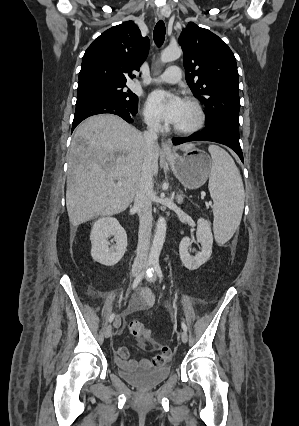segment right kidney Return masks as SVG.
Masks as SVG:
<instances>
[{
	"label": "right kidney",
	"instance_id": "obj_1",
	"mask_svg": "<svg viewBox=\"0 0 299 426\" xmlns=\"http://www.w3.org/2000/svg\"><path fill=\"white\" fill-rule=\"evenodd\" d=\"M114 236L115 245L109 247L108 238ZM91 256L94 261L113 266L124 256L127 247V234L124 228L113 217H102L92 227L90 233Z\"/></svg>",
	"mask_w": 299,
	"mask_h": 426
}]
</instances>
